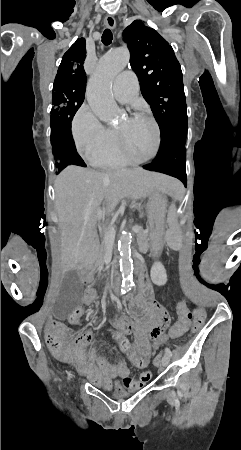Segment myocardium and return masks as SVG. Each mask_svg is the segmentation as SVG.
Returning a JSON list of instances; mask_svg holds the SVG:
<instances>
[{
    "label": "myocardium",
    "mask_w": 241,
    "mask_h": 450,
    "mask_svg": "<svg viewBox=\"0 0 241 450\" xmlns=\"http://www.w3.org/2000/svg\"><path fill=\"white\" fill-rule=\"evenodd\" d=\"M153 127H158V122H153ZM124 132H125V130L123 129V128H119L118 130H117V137H116V142L119 144V149H121L122 150V152L120 153V156L121 157H125V158H130V156H129V153H126L127 152V149L126 148H124L125 146H124V139H123V134H124ZM161 130H156L155 131V137H156V139L154 140V148H152V154H153V157L155 158V157H158V150L157 149H159V143L161 142V137H160V135H161ZM143 162H149L150 160H142Z\"/></svg>",
    "instance_id": "myocardium-1"
}]
</instances>
